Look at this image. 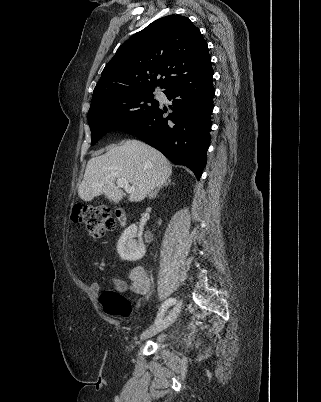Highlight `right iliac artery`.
I'll use <instances>...</instances> for the list:
<instances>
[{
    "label": "right iliac artery",
    "instance_id": "obj_1",
    "mask_svg": "<svg viewBox=\"0 0 321 402\" xmlns=\"http://www.w3.org/2000/svg\"><path fill=\"white\" fill-rule=\"evenodd\" d=\"M176 301H177V300H176L175 298H169L168 300H166V301L161 305L160 311H159V313H158V315H157V318H156V320H155V324H156V325L162 320L165 311H166L170 306H172L173 304H175Z\"/></svg>",
    "mask_w": 321,
    "mask_h": 402
}]
</instances>
